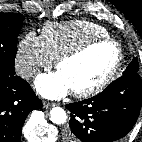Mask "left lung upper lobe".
Instances as JSON below:
<instances>
[{"mask_svg":"<svg viewBox=\"0 0 142 142\" xmlns=\"http://www.w3.org/2000/svg\"><path fill=\"white\" fill-rule=\"evenodd\" d=\"M139 70V64L136 58L133 59V61L128 65L126 70L123 72V75L129 74V73H138Z\"/></svg>","mask_w":142,"mask_h":142,"instance_id":"left-lung-upper-lobe-1","label":"left lung upper lobe"}]
</instances>
